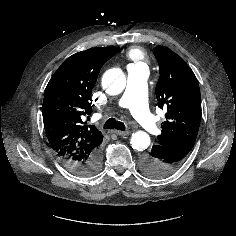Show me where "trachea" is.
<instances>
[{"label":"trachea","mask_w":236,"mask_h":236,"mask_svg":"<svg viewBox=\"0 0 236 236\" xmlns=\"http://www.w3.org/2000/svg\"><path fill=\"white\" fill-rule=\"evenodd\" d=\"M103 128L104 129H117L120 131H125V129H126L124 123L117 121L115 118L108 119L105 122Z\"/></svg>","instance_id":"trachea-1"}]
</instances>
